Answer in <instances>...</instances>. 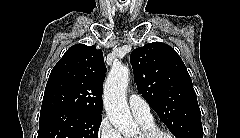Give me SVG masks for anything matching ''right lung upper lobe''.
<instances>
[{
  "label": "right lung upper lobe",
  "instance_id": "obj_1",
  "mask_svg": "<svg viewBox=\"0 0 240 138\" xmlns=\"http://www.w3.org/2000/svg\"><path fill=\"white\" fill-rule=\"evenodd\" d=\"M106 67L95 45L70 47L52 69L40 115L67 111L102 115Z\"/></svg>",
  "mask_w": 240,
  "mask_h": 138
}]
</instances>
